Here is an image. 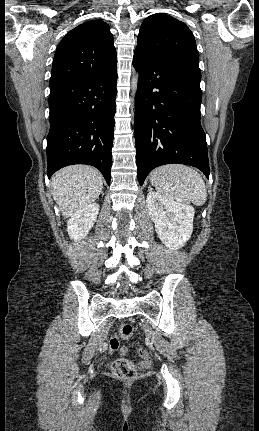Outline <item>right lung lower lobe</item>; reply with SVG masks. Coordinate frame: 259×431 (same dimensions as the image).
Returning a JSON list of instances; mask_svg holds the SVG:
<instances>
[{
  "label": "right lung lower lobe",
  "instance_id": "right-lung-lower-lobe-1",
  "mask_svg": "<svg viewBox=\"0 0 259 431\" xmlns=\"http://www.w3.org/2000/svg\"><path fill=\"white\" fill-rule=\"evenodd\" d=\"M117 69L50 86L47 175L72 164L96 167L110 185Z\"/></svg>",
  "mask_w": 259,
  "mask_h": 431
}]
</instances>
